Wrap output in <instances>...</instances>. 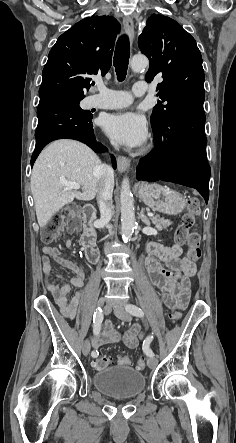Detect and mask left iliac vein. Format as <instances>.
<instances>
[{
  "label": "left iliac vein",
  "mask_w": 236,
  "mask_h": 443,
  "mask_svg": "<svg viewBox=\"0 0 236 443\" xmlns=\"http://www.w3.org/2000/svg\"><path fill=\"white\" fill-rule=\"evenodd\" d=\"M113 312L115 314V316L123 321H130L131 320V315L123 308V307H115L113 309ZM147 364L148 367L151 369L156 368L157 364H158V360L156 357L152 356L149 357L147 360Z\"/></svg>",
  "instance_id": "obj_1"
}]
</instances>
